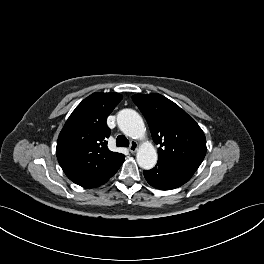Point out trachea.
<instances>
[{"label":"trachea","instance_id":"trachea-1","mask_svg":"<svg viewBox=\"0 0 264 264\" xmlns=\"http://www.w3.org/2000/svg\"><path fill=\"white\" fill-rule=\"evenodd\" d=\"M116 144L118 147H128L129 141L124 135H119L116 139Z\"/></svg>","mask_w":264,"mask_h":264}]
</instances>
